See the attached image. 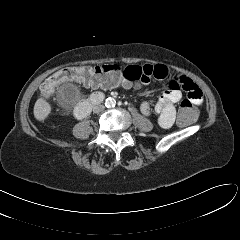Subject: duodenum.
Listing matches in <instances>:
<instances>
[{"label": "duodenum", "instance_id": "obj_1", "mask_svg": "<svg viewBox=\"0 0 240 240\" xmlns=\"http://www.w3.org/2000/svg\"><path fill=\"white\" fill-rule=\"evenodd\" d=\"M103 99H104L103 94H100V93L93 94L89 99L79 103L75 107V110H74L75 116L79 119L85 118L89 114L91 107L95 104L100 103Z\"/></svg>", "mask_w": 240, "mask_h": 240}]
</instances>
